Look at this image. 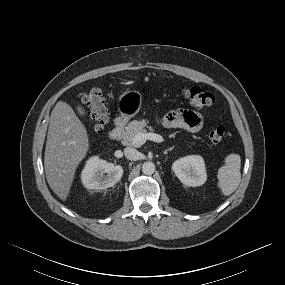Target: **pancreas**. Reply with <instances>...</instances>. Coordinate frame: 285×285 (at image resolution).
Returning <instances> with one entry per match:
<instances>
[{
    "label": "pancreas",
    "instance_id": "obj_1",
    "mask_svg": "<svg viewBox=\"0 0 285 285\" xmlns=\"http://www.w3.org/2000/svg\"><path fill=\"white\" fill-rule=\"evenodd\" d=\"M146 127H148V125L145 120H134L128 123L120 136L122 144L126 146H136L133 144L134 136L138 133H146ZM149 129L153 130L152 127H149Z\"/></svg>",
    "mask_w": 285,
    "mask_h": 285
}]
</instances>
